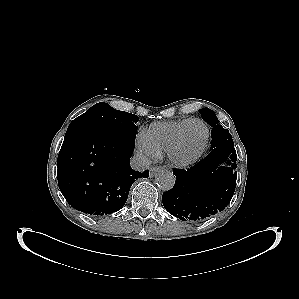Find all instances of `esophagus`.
Instances as JSON below:
<instances>
[{"label":"esophagus","instance_id":"esophagus-1","mask_svg":"<svg viewBox=\"0 0 299 299\" xmlns=\"http://www.w3.org/2000/svg\"><path fill=\"white\" fill-rule=\"evenodd\" d=\"M161 170H163V168H161V167H153V168L150 169L149 176L153 177L157 172H159Z\"/></svg>","mask_w":299,"mask_h":299}]
</instances>
